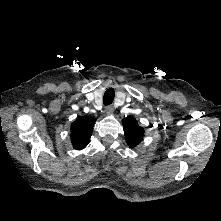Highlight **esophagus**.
<instances>
[{"mask_svg":"<svg viewBox=\"0 0 221 221\" xmlns=\"http://www.w3.org/2000/svg\"><path fill=\"white\" fill-rule=\"evenodd\" d=\"M113 111H114V107L112 105H108L105 107L106 114H112Z\"/></svg>","mask_w":221,"mask_h":221,"instance_id":"obj_1","label":"esophagus"}]
</instances>
